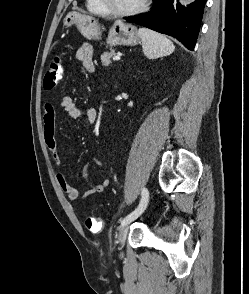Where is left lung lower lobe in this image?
<instances>
[{
  "label": "left lung lower lobe",
  "mask_w": 249,
  "mask_h": 294,
  "mask_svg": "<svg viewBox=\"0 0 249 294\" xmlns=\"http://www.w3.org/2000/svg\"><path fill=\"white\" fill-rule=\"evenodd\" d=\"M153 8L140 16L126 17L125 20L143 25L163 34L175 37L183 45L193 50L206 0H196L187 8L177 4L174 10V0H153Z\"/></svg>",
  "instance_id": "left-lung-lower-lobe-1"
}]
</instances>
